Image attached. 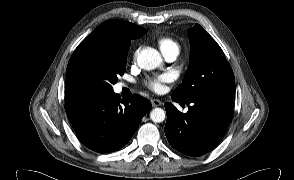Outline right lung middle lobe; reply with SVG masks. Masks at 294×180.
<instances>
[{
  "instance_id": "1",
  "label": "right lung middle lobe",
  "mask_w": 294,
  "mask_h": 180,
  "mask_svg": "<svg viewBox=\"0 0 294 180\" xmlns=\"http://www.w3.org/2000/svg\"><path fill=\"white\" fill-rule=\"evenodd\" d=\"M127 53L128 47L116 42L77 47L66 70L65 98L112 92L125 72Z\"/></svg>"
}]
</instances>
